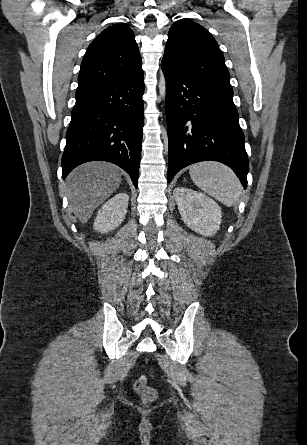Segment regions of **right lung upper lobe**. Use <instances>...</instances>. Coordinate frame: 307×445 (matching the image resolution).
Masks as SVG:
<instances>
[{"mask_svg":"<svg viewBox=\"0 0 307 445\" xmlns=\"http://www.w3.org/2000/svg\"><path fill=\"white\" fill-rule=\"evenodd\" d=\"M133 31L115 25L102 31L89 45L81 63L78 88L112 83L142 70Z\"/></svg>","mask_w":307,"mask_h":445,"instance_id":"obj_1","label":"right lung upper lobe"}]
</instances>
